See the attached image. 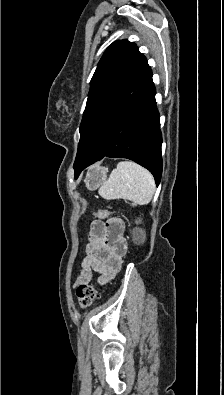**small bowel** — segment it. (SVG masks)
<instances>
[{"label":"small bowel","mask_w":224,"mask_h":395,"mask_svg":"<svg viewBox=\"0 0 224 395\" xmlns=\"http://www.w3.org/2000/svg\"><path fill=\"white\" fill-rule=\"evenodd\" d=\"M118 226L114 231L113 227ZM127 241L124 237L122 220L112 218L107 223L95 220L91 223L89 243L86 246V256L76 279V285L89 282L92 271L100 275V281L106 282L120 269L122 256L127 252Z\"/></svg>","instance_id":"1"}]
</instances>
